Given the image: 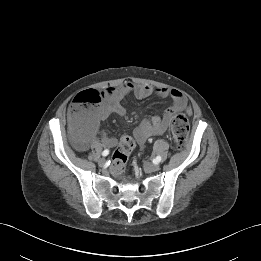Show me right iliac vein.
I'll return each mask as SVG.
<instances>
[{"mask_svg":"<svg viewBox=\"0 0 261 261\" xmlns=\"http://www.w3.org/2000/svg\"><path fill=\"white\" fill-rule=\"evenodd\" d=\"M105 163H106V161H105L104 158H100V159L98 160V164H99V166H101V167L104 166Z\"/></svg>","mask_w":261,"mask_h":261,"instance_id":"right-iliac-vein-1","label":"right iliac vein"}]
</instances>
